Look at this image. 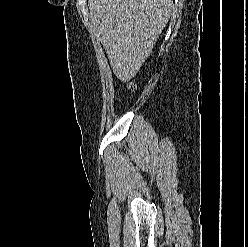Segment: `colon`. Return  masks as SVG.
<instances>
[{"label":"colon","instance_id":"obj_1","mask_svg":"<svg viewBox=\"0 0 248 247\" xmlns=\"http://www.w3.org/2000/svg\"><path fill=\"white\" fill-rule=\"evenodd\" d=\"M130 88L133 89L134 88V85H130Z\"/></svg>","mask_w":248,"mask_h":247}]
</instances>
